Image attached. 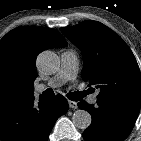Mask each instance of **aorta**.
I'll use <instances>...</instances> for the list:
<instances>
[{
	"instance_id": "aorta-1",
	"label": "aorta",
	"mask_w": 141,
	"mask_h": 141,
	"mask_svg": "<svg viewBox=\"0 0 141 141\" xmlns=\"http://www.w3.org/2000/svg\"><path fill=\"white\" fill-rule=\"evenodd\" d=\"M36 63L38 69L46 74L55 73L60 66L59 57L50 50L41 52L37 57ZM91 121V115L82 109L76 110L72 115V122L79 129H87Z\"/></svg>"
}]
</instances>
